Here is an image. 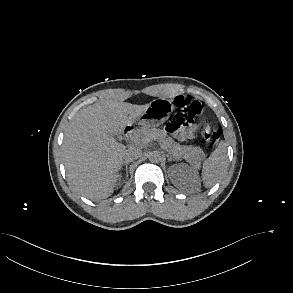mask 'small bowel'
<instances>
[{"instance_id":"obj_1","label":"small bowel","mask_w":293,"mask_h":293,"mask_svg":"<svg viewBox=\"0 0 293 293\" xmlns=\"http://www.w3.org/2000/svg\"><path fill=\"white\" fill-rule=\"evenodd\" d=\"M197 126H192L186 131V136L190 137L192 136L193 131L196 129Z\"/></svg>"}]
</instances>
